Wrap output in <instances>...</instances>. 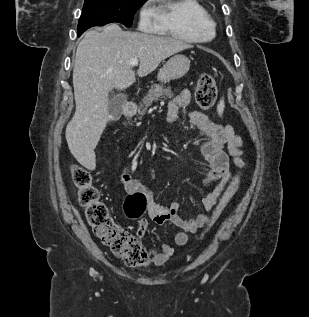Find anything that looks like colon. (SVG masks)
I'll list each match as a JSON object with an SVG mask.
<instances>
[{"label":"colon","instance_id":"colon-1","mask_svg":"<svg viewBox=\"0 0 309 317\" xmlns=\"http://www.w3.org/2000/svg\"><path fill=\"white\" fill-rule=\"evenodd\" d=\"M217 98L214 78L209 74L199 77L195 90V100L202 109L211 108ZM73 182L78 188L80 205L85 210L89 225L95 235L108 245L113 253L130 267H141L148 264L150 252L141 240L118 225L101 200L100 191L94 186L90 172L83 167L73 165L71 169ZM239 182V173L226 188L219 200L214 216H217L227 205ZM146 209V197L136 193L127 197L125 211L131 218H140Z\"/></svg>","mask_w":309,"mask_h":317}]
</instances>
